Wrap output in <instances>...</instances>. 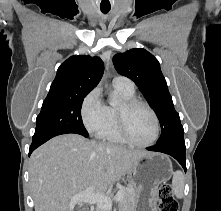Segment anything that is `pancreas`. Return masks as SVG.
Segmentation results:
<instances>
[{
	"mask_svg": "<svg viewBox=\"0 0 221 211\" xmlns=\"http://www.w3.org/2000/svg\"><path fill=\"white\" fill-rule=\"evenodd\" d=\"M124 191V197L119 202V207L121 208V211H135L136 206V189L134 186L129 185L126 188L121 189ZM96 211H107L105 209L96 208Z\"/></svg>",
	"mask_w": 221,
	"mask_h": 211,
	"instance_id": "obj_1",
	"label": "pancreas"
}]
</instances>
